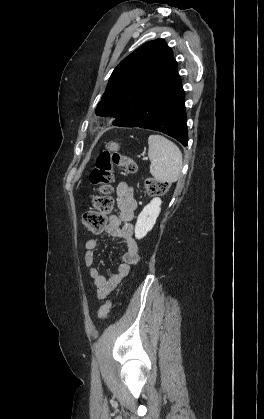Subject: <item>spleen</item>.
<instances>
[{
	"label": "spleen",
	"mask_w": 264,
	"mask_h": 419,
	"mask_svg": "<svg viewBox=\"0 0 264 419\" xmlns=\"http://www.w3.org/2000/svg\"><path fill=\"white\" fill-rule=\"evenodd\" d=\"M150 173L158 181L169 184L176 182L181 174L182 153L178 146L161 135L148 138Z\"/></svg>",
	"instance_id": "obj_1"
}]
</instances>
